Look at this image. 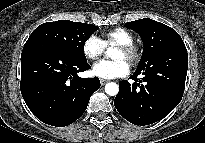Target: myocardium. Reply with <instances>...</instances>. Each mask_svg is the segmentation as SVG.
I'll return each instance as SVG.
<instances>
[{
    "instance_id": "myocardium-1",
    "label": "myocardium",
    "mask_w": 205,
    "mask_h": 143,
    "mask_svg": "<svg viewBox=\"0 0 205 143\" xmlns=\"http://www.w3.org/2000/svg\"><path fill=\"white\" fill-rule=\"evenodd\" d=\"M117 48L124 52L126 56V61L131 65H137L141 60V50L134 43L130 44H120L117 45Z\"/></svg>"
}]
</instances>
